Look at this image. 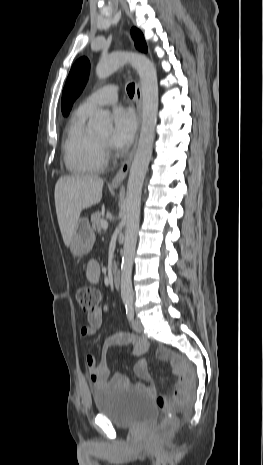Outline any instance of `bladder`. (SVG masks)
<instances>
[{"mask_svg":"<svg viewBox=\"0 0 263 465\" xmlns=\"http://www.w3.org/2000/svg\"><path fill=\"white\" fill-rule=\"evenodd\" d=\"M93 399L97 412L121 428L150 422L158 413L154 401L135 388L107 386L95 392Z\"/></svg>","mask_w":263,"mask_h":465,"instance_id":"obj_1","label":"bladder"}]
</instances>
